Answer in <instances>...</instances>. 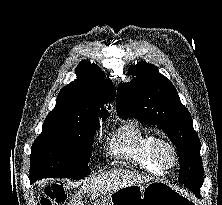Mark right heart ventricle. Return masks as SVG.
<instances>
[{"instance_id": "right-heart-ventricle-1", "label": "right heart ventricle", "mask_w": 222, "mask_h": 205, "mask_svg": "<svg viewBox=\"0 0 222 205\" xmlns=\"http://www.w3.org/2000/svg\"><path fill=\"white\" fill-rule=\"evenodd\" d=\"M154 138L152 133L138 126H128L116 140L113 152L153 175H163L165 170L157 164L152 155Z\"/></svg>"}]
</instances>
